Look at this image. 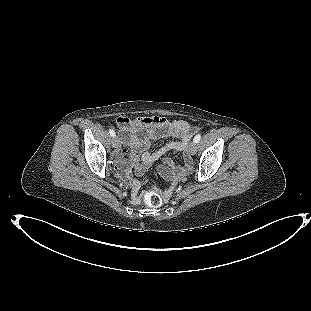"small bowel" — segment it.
<instances>
[{
  "instance_id": "c3829d8e",
  "label": "small bowel",
  "mask_w": 311,
  "mask_h": 311,
  "mask_svg": "<svg viewBox=\"0 0 311 311\" xmlns=\"http://www.w3.org/2000/svg\"><path fill=\"white\" fill-rule=\"evenodd\" d=\"M116 125L123 133L121 148L118 152V166L130 162L137 176H142L147 169L159 159L165 157L171 151H185L189 137L192 134L190 125L182 120L170 121L164 117H138L129 119L119 116ZM172 137L169 141L155 151H149L154 140ZM165 167L169 170V177L175 183L189 168L188 156H184V165L177 166L170 158L164 159ZM122 175L128 181L131 189L132 201L138 202V192L141 182L131 178L126 170H121ZM169 191L165 192L168 197Z\"/></svg>"
}]
</instances>
